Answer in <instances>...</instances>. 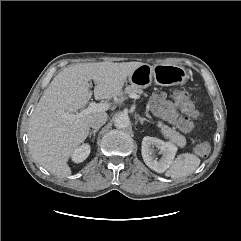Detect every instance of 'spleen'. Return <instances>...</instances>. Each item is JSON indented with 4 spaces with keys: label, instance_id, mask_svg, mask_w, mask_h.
Returning a JSON list of instances; mask_svg holds the SVG:
<instances>
[{
    "label": "spleen",
    "instance_id": "obj_1",
    "mask_svg": "<svg viewBox=\"0 0 241 241\" xmlns=\"http://www.w3.org/2000/svg\"><path fill=\"white\" fill-rule=\"evenodd\" d=\"M200 165V159L191 153H183L177 156L165 173V176L177 179L194 172Z\"/></svg>",
    "mask_w": 241,
    "mask_h": 241
}]
</instances>
